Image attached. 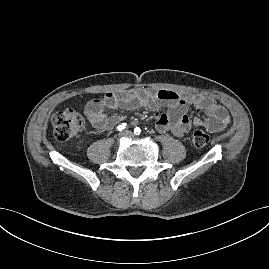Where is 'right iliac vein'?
I'll use <instances>...</instances> for the list:
<instances>
[{
  "instance_id": "right-iliac-vein-1",
  "label": "right iliac vein",
  "mask_w": 269,
  "mask_h": 269,
  "mask_svg": "<svg viewBox=\"0 0 269 269\" xmlns=\"http://www.w3.org/2000/svg\"><path fill=\"white\" fill-rule=\"evenodd\" d=\"M119 136H124V132L119 133Z\"/></svg>"
}]
</instances>
